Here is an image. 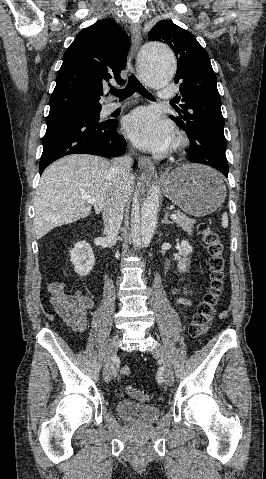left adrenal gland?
I'll use <instances>...</instances> for the list:
<instances>
[{"label": "left adrenal gland", "instance_id": "obj_1", "mask_svg": "<svg viewBox=\"0 0 266 479\" xmlns=\"http://www.w3.org/2000/svg\"><path fill=\"white\" fill-rule=\"evenodd\" d=\"M162 224H173V222H171L169 219H168V213L166 212L165 216H164V219L162 220Z\"/></svg>", "mask_w": 266, "mask_h": 479}]
</instances>
